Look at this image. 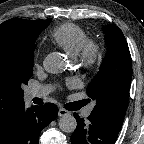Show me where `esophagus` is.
I'll list each match as a JSON object with an SVG mask.
<instances>
[{
  "mask_svg": "<svg viewBox=\"0 0 144 144\" xmlns=\"http://www.w3.org/2000/svg\"><path fill=\"white\" fill-rule=\"evenodd\" d=\"M69 114H70V112L67 111L66 109H64V108L59 109L58 116L63 117V116H67Z\"/></svg>",
  "mask_w": 144,
  "mask_h": 144,
  "instance_id": "34e87169",
  "label": "esophagus"
}]
</instances>
